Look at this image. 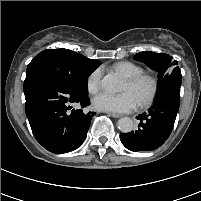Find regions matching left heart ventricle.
<instances>
[{"label":"left heart ventricle","mask_w":201,"mask_h":201,"mask_svg":"<svg viewBox=\"0 0 201 201\" xmlns=\"http://www.w3.org/2000/svg\"><path fill=\"white\" fill-rule=\"evenodd\" d=\"M122 91H129L133 94L137 102H139L142 98H144L149 91V84L147 82H143L137 86H130L126 81L124 82Z\"/></svg>","instance_id":"obj_1"}]
</instances>
